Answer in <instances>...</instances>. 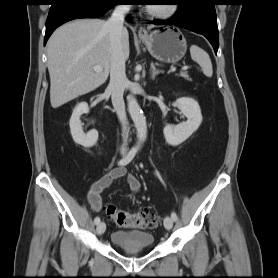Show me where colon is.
I'll return each mask as SVG.
<instances>
[{
    "label": "colon",
    "mask_w": 278,
    "mask_h": 278,
    "mask_svg": "<svg viewBox=\"0 0 278 278\" xmlns=\"http://www.w3.org/2000/svg\"><path fill=\"white\" fill-rule=\"evenodd\" d=\"M106 214L118 226L130 229H149L158 224V219L145 211L130 212L113 204L107 205Z\"/></svg>",
    "instance_id": "1"
}]
</instances>
